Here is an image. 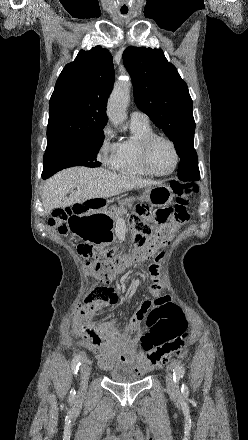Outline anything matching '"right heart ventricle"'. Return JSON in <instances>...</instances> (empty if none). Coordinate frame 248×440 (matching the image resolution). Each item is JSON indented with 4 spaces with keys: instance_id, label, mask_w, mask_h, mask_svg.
I'll list each match as a JSON object with an SVG mask.
<instances>
[{
    "instance_id": "e07e8e85",
    "label": "right heart ventricle",
    "mask_w": 248,
    "mask_h": 440,
    "mask_svg": "<svg viewBox=\"0 0 248 440\" xmlns=\"http://www.w3.org/2000/svg\"><path fill=\"white\" fill-rule=\"evenodd\" d=\"M150 124L131 122V136L118 143L115 171L124 175L146 177L149 174L140 162V148L145 139L154 135Z\"/></svg>"
}]
</instances>
